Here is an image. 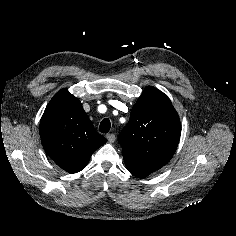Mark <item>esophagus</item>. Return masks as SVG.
Here are the masks:
<instances>
[{
	"label": "esophagus",
	"mask_w": 236,
	"mask_h": 236,
	"mask_svg": "<svg viewBox=\"0 0 236 236\" xmlns=\"http://www.w3.org/2000/svg\"><path fill=\"white\" fill-rule=\"evenodd\" d=\"M106 138L107 140L110 142V143H113L115 140H116V136L114 134H107L106 135Z\"/></svg>",
	"instance_id": "1"
}]
</instances>
